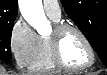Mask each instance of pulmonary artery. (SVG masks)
Returning <instances> with one entry per match:
<instances>
[{"mask_svg":"<svg viewBox=\"0 0 107 75\" xmlns=\"http://www.w3.org/2000/svg\"><path fill=\"white\" fill-rule=\"evenodd\" d=\"M43 7L46 14L55 20H60L61 18V9L58 1L56 0H44Z\"/></svg>","mask_w":107,"mask_h":75,"instance_id":"obj_1","label":"pulmonary artery"}]
</instances>
